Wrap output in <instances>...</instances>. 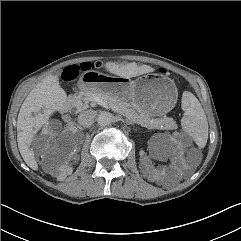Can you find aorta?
<instances>
[{
	"label": "aorta",
	"instance_id": "obj_1",
	"mask_svg": "<svg viewBox=\"0 0 241 241\" xmlns=\"http://www.w3.org/2000/svg\"><path fill=\"white\" fill-rule=\"evenodd\" d=\"M113 120L112 114L106 111H102L97 116V122L100 126L109 125Z\"/></svg>",
	"mask_w": 241,
	"mask_h": 241
}]
</instances>
